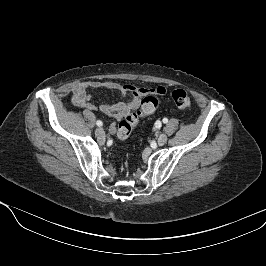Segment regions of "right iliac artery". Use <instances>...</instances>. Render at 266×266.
<instances>
[{
	"mask_svg": "<svg viewBox=\"0 0 266 266\" xmlns=\"http://www.w3.org/2000/svg\"><path fill=\"white\" fill-rule=\"evenodd\" d=\"M96 124H97V126H99V127L103 125L102 121H100V120H98V121L96 122Z\"/></svg>",
	"mask_w": 266,
	"mask_h": 266,
	"instance_id": "right-iliac-artery-1",
	"label": "right iliac artery"
}]
</instances>
